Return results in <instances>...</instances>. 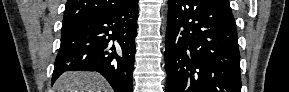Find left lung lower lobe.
<instances>
[{"label": "left lung lower lobe", "mask_w": 289, "mask_h": 92, "mask_svg": "<svg viewBox=\"0 0 289 92\" xmlns=\"http://www.w3.org/2000/svg\"><path fill=\"white\" fill-rule=\"evenodd\" d=\"M166 92H241L235 19L220 0H168Z\"/></svg>", "instance_id": "obj_1"}]
</instances>
